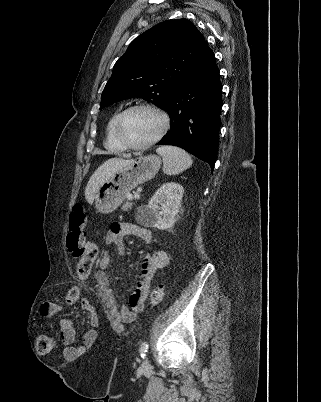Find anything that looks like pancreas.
<instances>
[{
	"label": "pancreas",
	"mask_w": 321,
	"mask_h": 402,
	"mask_svg": "<svg viewBox=\"0 0 321 402\" xmlns=\"http://www.w3.org/2000/svg\"><path fill=\"white\" fill-rule=\"evenodd\" d=\"M134 203L131 201H127L126 203H124L121 207V209L123 211H129L132 207H133Z\"/></svg>",
	"instance_id": "obj_1"
}]
</instances>
